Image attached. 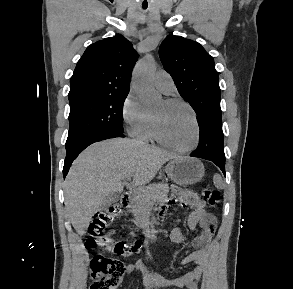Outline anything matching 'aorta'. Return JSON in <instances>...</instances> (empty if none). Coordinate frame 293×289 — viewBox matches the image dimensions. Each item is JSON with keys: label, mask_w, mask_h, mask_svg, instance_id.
Here are the masks:
<instances>
[{"label": "aorta", "mask_w": 293, "mask_h": 289, "mask_svg": "<svg viewBox=\"0 0 293 289\" xmlns=\"http://www.w3.org/2000/svg\"><path fill=\"white\" fill-rule=\"evenodd\" d=\"M155 70V63L151 58L139 62L134 69L132 86L144 105L153 106L162 100L161 94L153 86Z\"/></svg>", "instance_id": "obj_1"}]
</instances>
